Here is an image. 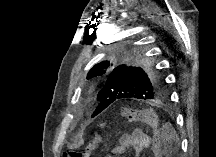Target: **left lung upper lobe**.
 I'll use <instances>...</instances> for the list:
<instances>
[{
  "label": "left lung upper lobe",
  "instance_id": "left-lung-upper-lobe-1",
  "mask_svg": "<svg viewBox=\"0 0 216 157\" xmlns=\"http://www.w3.org/2000/svg\"><path fill=\"white\" fill-rule=\"evenodd\" d=\"M108 61L96 64L87 79L105 77L97 100L113 103L123 99L155 100L165 96L166 83L159 72L146 64L139 48L109 49Z\"/></svg>",
  "mask_w": 216,
  "mask_h": 157
}]
</instances>
